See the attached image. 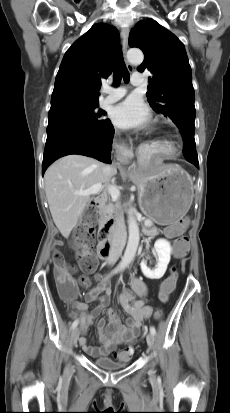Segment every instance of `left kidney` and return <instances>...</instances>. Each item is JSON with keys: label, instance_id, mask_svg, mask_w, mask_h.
<instances>
[{"label": "left kidney", "instance_id": "left-kidney-1", "mask_svg": "<svg viewBox=\"0 0 230 413\" xmlns=\"http://www.w3.org/2000/svg\"><path fill=\"white\" fill-rule=\"evenodd\" d=\"M171 245L166 239H158L154 244V252L158 257L156 268L151 270L146 261L142 260L140 267L145 277L149 279H160L167 270L171 258Z\"/></svg>", "mask_w": 230, "mask_h": 413}]
</instances>
